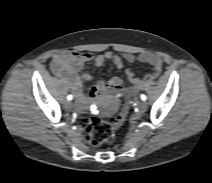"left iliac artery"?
<instances>
[{"instance_id": "44dca946", "label": "left iliac artery", "mask_w": 212, "mask_h": 183, "mask_svg": "<svg viewBox=\"0 0 212 183\" xmlns=\"http://www.w3.org/2000/svg\"><path fill=\"white\" fill-rule=\"evenodd\" d=\"M140 98H141L143 101H145V100L147 99V97H146L144 94H141V95H140Z\"/></svg>"}]
</instances>
